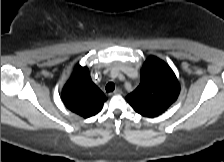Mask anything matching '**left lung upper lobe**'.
<instances>
[{"mask_svg": "<svg viewBox=\"0 0 224 162\" xmlns=\"http://www.w3.org/2000/svg\"><path fill=\"white\" fill-rule=\"evenodd\" d=\"M180 92L178 80L161 59L150 56L140 72V84L126 100L139 114L156 117L176 101Z\"/></svg>", "mask_w": 224, "mask_h": 162, "instance_id": "obj_1", "label": "left lung upper lobe"}]
</instances>
